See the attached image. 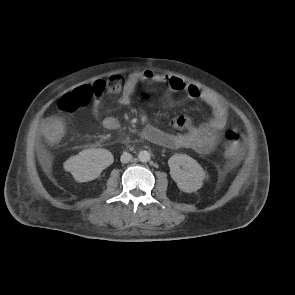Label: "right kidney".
Segmentation results:
<instances>
[{
  "label": "right kidney",
  "mask_w": 295,
  "mask_h": 295,
  "mask_svg": "<svg viewBox=\"0 0 295 295\" xmlns=\"http://www.w3.org/2000/svg\"><path fill=\"white\" fill-rule=\"evenodd\" d=\"M113 161L110 151L91 148L68 158L64 163V169L69 171L76 181L88 182L98 178Z\"/></svg>",
  "instance_id": "obj_1"
}]
</instances>
